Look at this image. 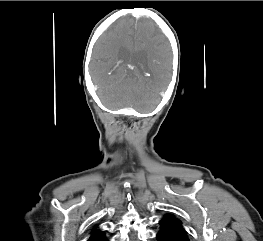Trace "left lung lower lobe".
Returning a JSON list of instances; mask_svg holds the SVG:
<instances>
[{
	"label": "left lung lower lobe",
	"instance_id": "1",
	"mask_svg": "<svg viewBox=\"0 0 263 241\" xmlns=\"http://www.w3.org/2000/svg\"><path fill=\"white\" fill-rule=\"evenodd\" d=\"M160 225L161 228L157 234L158 241H189L187 233L172 223L162 219Z\"/></svg>",
	"mask_w": 263,
	"mask_h": 241
}]
</instances>
